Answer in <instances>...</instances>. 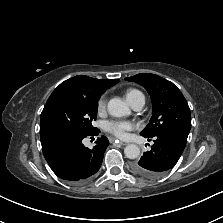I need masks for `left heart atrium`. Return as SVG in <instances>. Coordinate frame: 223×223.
Masks as SVG:
<instances>
[{"mask_svg": "<svg viewBox=\"0 0 223 223\" xmlns=\"http://www.w3.org/2000/svg\"><path fill=\"white\" fill-rule=\"evenodd\" d=\"M105 130L118 138H126L127 133L134 128V124L130 121H108L104 126Z\"/></svg>", "mask_w": 223, "mask_h": 223, "instance_id": "obj_1", "label": "left heart atrium"}]
</instances>
